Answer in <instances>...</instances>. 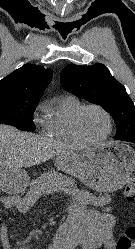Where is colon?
<instances>
[{"label": "colon", "instance_id": "colon-1", "mask_svg": "<svg viewBox=\"0 0 135 249\" xmlns=\"http://www.w3.org/2000/svg\"><path fill=\"white\" fill-rule=\"evenodd\" d=\"M125 198L130 202H135V175L127 182L124 190ZM135 241V226H130L125 233L120 236L116 243V249H131Z\"/></svg>", "mask_w": 135, "mask_h": 249}]
</instances>
